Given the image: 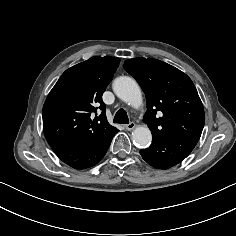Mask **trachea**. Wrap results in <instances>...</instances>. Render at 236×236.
<instances>
[{
  "mask_svg": "<svg viewBox=\"0 0 236 236\" xmlns=\"http://www.w3.org/2000/svg\"><path fill=\"white\" fill-rule=\"evenodd\" d=\"M114 123L128 124L129 119L124 109H119L114 116Z\"/></svg>",
  "mask_w": 236,
  "mask_h": 236,
  "instance_id": "1",
  "label": "trachea"
}]
</instances>
